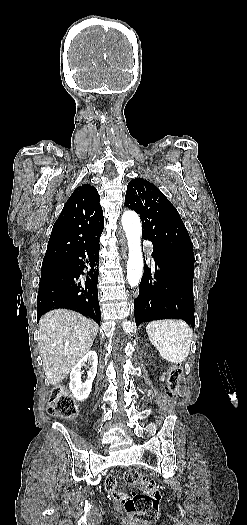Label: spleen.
Masks as SVG:
<instances>
[{"label":"spleen","instance_id":"spleen-1","mask_svg":"<svg viewBox=\"0 0 247 525\" xmlns=\"http://www.w3.org/2000/svg\"><path fill=\"white\" fill-rule=\"evenodd\" d=\"M146 333L160 357L169 363H182L190 353L193 331L185 321L165 319L152 321L146 327Z\"/></svg>","mask_w":247,"mask_h":525}]
</instances>
